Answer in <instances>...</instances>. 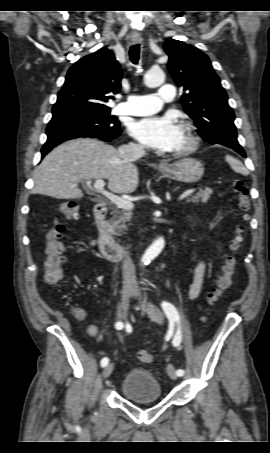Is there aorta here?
<instances>
[{
  "instance_id": "obj_1",
  "label": "aorta",
  "mask_w": 270,
  "mask_h": 453,
  "mask_svg": "<svg viewBox=\"0 0 270 453\" xmlns=\"http://www.w3.org/2000/svg\"><path fill=\"white\" fill-rule=\"evenodd\" d=\"M164 80L165 74L159 68L149 70L144 76V83L148 87L160 86ZM164 244L165 241L162 237L155 240L143 255L142 262L146 264L156 258L164 248Z\"/></svg>"
}]
</instances>
